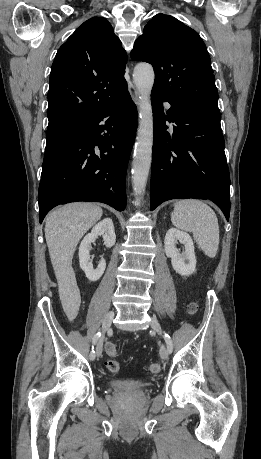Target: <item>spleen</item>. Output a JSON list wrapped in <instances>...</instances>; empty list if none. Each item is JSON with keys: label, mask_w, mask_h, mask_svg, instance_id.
Listing matches in <instances>:
<instances>
[{"label": "spleen", "mask_w": 261, "mask_h": 459, "mask_svg": "<svg viewBox=\"0 0 261 459\" xmlns=\"http://www.w3.org/2000/svg\"><path fill=\"white\" fill-rule=\"evenodd\" d=\"M172 224L181 230L192 232L206 256L214 258L219 247V225L213 209L201 200L184 199L174 205Z\"/></svg>", "instance_id": "3e777b00"}]
</instances>
